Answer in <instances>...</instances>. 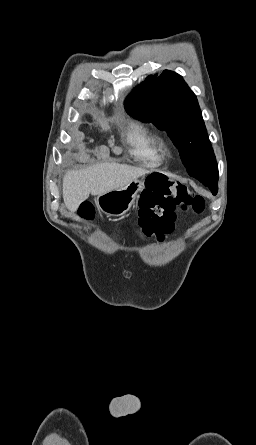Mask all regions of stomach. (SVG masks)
<instances>
[{"instance_id":"stomach-1","label":"stomach","mask_w":256,"mask_h":445,"mask_svg":"<svg viewBox=\"0 0 256 445\" xmlns=\"http://www.w3.org/2000/svg\"><path fill=\"white\" fill-rule=\"evenodd\" d=\"M145 188V178L134 180L128 185L101 194L96 204L108 216H122L126 214L135 202L137 195Z\"/></svg>"}]
</instances>
